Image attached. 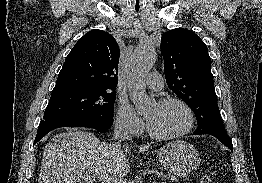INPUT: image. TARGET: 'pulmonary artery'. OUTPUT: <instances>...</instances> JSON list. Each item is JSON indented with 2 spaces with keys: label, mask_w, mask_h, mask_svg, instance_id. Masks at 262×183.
I'll list each match as a JSON object with an SVG mask.
<instances>
[{
  "label": "pulmonary artery",
  "mask_w": 262,
  "mask_h": 183,
  "mask_svg": "<svg viewBox=\"0 0 262 183\" xmlns=\"http://www.w3.org/2000/svg\"><path fill=\"white\" fill-rule=\"evenodd\" d=\"M145 83L150 89L154 91H159L164 86L163 78L158 72L149 73L145 78Z\"/></svg>",
  "instance_id": "obj_1"
}]
</instances>
